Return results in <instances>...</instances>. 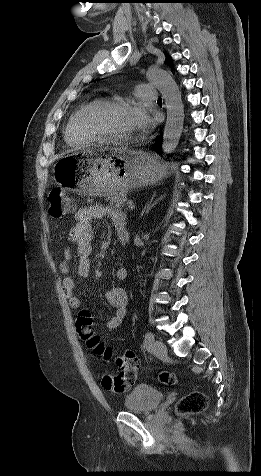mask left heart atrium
I'll list each match as a JSON object with an SVG mask.
<instances>
[{
	"mask_svg": "<svg viewBox=\"0 0 261 476\" xmlns=\"http://www.w3.org/2000/svg\"><path fill=\"white\" fill-rule=\"evenodd\" d=\"M133 131L147 132L153 126V120L142 106H134L131 110Z\"/></svg>",
	"mask_w": 261,
	"mask_h": 476,
	"instance_id": "1",
	"label": "left heart atrium"
}]
</instances>
